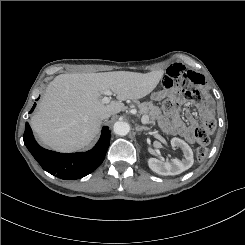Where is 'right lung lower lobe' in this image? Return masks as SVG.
Listing matches in <instances>:
<instances>
[{"label": "right lung lower lobe", "instance_id": "1", "mask_svg": "<svg viewBox=\"0 0 245 245\" xmlns=\"http://www.w3.org/2000/svg\"><path fill=\"white\" fill-rule=\"evenodd\" d=\"M32 107L30 113L34 110ZM25 146L41 167L60 179H80L93 172L105 159L110 144V130L105 126L102 135L93 149L84 153H58L42 148L35 141L28 123L23 135Z\"/></svg>", "mask_w": 245, "mask_h": 245}]
</instances>
